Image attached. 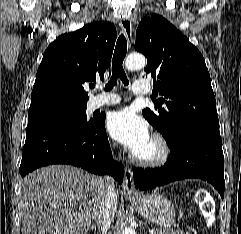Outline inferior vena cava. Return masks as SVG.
Wrapping results in <instances>:
<instances>
[{
    "label": "inferior vena cava",
    "mask_w": 241,
    "mask_h": 234,
    "mask_svg": "<svg viewBox=\"0 0 241 234\" xmlns=\"http://www.w3.org/2000/svg\"><path fill=\"white\" fill-rule=\"evenodd\" d=\"M101 203L95 215V221L102 234H107L117 209L114 180L106 176L99 183Z\"/></svg>",
    "instance_id": "1"
}]
</instances>
